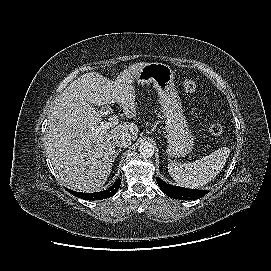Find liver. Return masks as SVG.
I'll return each mask as SVG.
<instances>
[{"label": "liver", "mask_w": 271, "mask_h": 271, "mask_svg": "<svg viewBox=\"0 0 271 271\" xmlns=\"http://www.w3.org/2000/svg\"><path fill=\"white\" fill-rule=\"evenodd\" d=\"M147 63L129 66L112 81L98 72L83 74L55 99L48 116L46 146L56 173L77 190L92 191L107 181L115 153L114 138L127 133L138 137V126L123 122L95 133L102 121L93 106L117 103L126 117H136L134 80Z\"/></svg>", "instance_id": "6515ba94"}]
</instances>
